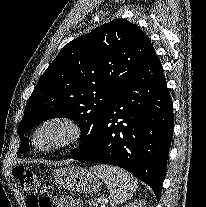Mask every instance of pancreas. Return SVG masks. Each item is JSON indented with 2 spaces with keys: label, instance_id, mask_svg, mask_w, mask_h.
Listing matches in <instances>:
<instances>
[{
  "label": "pancreas",
  "instance_id": "1",
  "mask_svg": "<svg viewBox=\"0 0 206 207\" xmlns=\"http://www.w3.org/2000/svg\"><path fill=\"white\" fill-rule=\"evenodd\" d=\"M89 204L91 205V207H98V203L95 200H91Z\"/></svg>",
  "mask_w": 206,
  "mask_h": 207
}]
</instances>
